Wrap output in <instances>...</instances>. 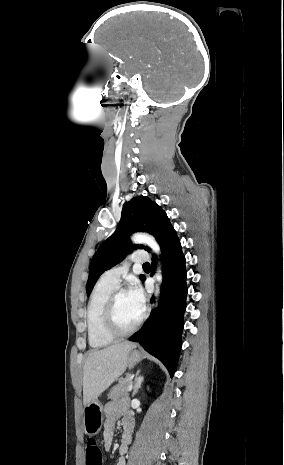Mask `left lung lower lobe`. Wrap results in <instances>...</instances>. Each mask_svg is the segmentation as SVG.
Listing matches in <instances>:
<instances>
[{
  "label": "left lung lower lobe",
  "instance_id": "0a47b994",
  "mask_svg": "<svg viewBox=\"0 0 284 465\" xmlns=\"http://www.w3.org/2000/svg\"><path fill=\"white\" fill-rule=\"evenodd\" d=\"M161 251L163 283L159 307L150 315L145 327L135 333L130 341L139 342L146 351L157 357L173 377L182 346L183 315L188 291L185 256L176 231L170 235ZM155 262L156 256L152 258V273Z\"/></svg>",
  "mask_w": 284,
  "mask_h": 465
}]
</instances>
